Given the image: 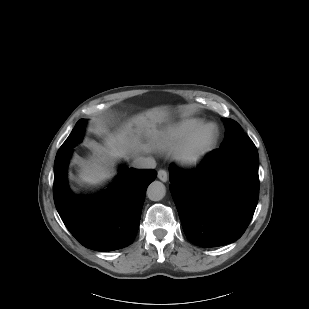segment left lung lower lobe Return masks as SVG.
Segmentation results:
<instances>
[{"label":"left lung lower lobe","instance_id":"obj_1","mask_svg":"<svg viewBox=\"0 0 309 309\" xmlns=\"http://www.w3.org/2000/svg\"><path fill=\"white\" fill-rule=\"evenodd\" d=\"M259 157L254 143L218 149L194 170L170 166V189L186 237L201 247L239 239L259 196Z\"/></svg>","mask_w":309,"mask_h":309}]
</instances>
